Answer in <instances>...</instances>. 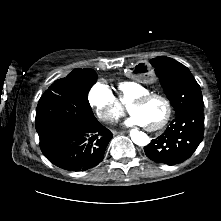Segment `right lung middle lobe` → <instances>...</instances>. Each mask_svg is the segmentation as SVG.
Returning <instances> with one entry per match:
<instances>
[{"mask_svg": "<svg viewBox=\"0 0 221 221\" xmlns=\"http://www.w3.org/2000/svg\"><path fill=\"white\" fill-rule=\"evenodd\" d=\"M96 78L91 69L59 79L45 91L36 110L35 126L39 138L71 123L88 125L97 120L87 99Z\"/></svg>", "mask_w": 221, "mask_h": 221, "instance_id": "1", "label": "right lung middle lobe"}]
</instances>
